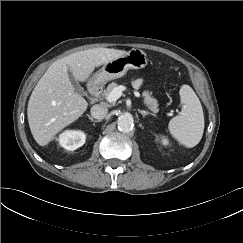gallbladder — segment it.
<instances>
[{
	"mask_svg": "<svg viewBox=\"0 0 243 243\" xmlns=\"http://www.w3.org/2000/svg\"><path fill=\"white\" fill-rule=\"evenodd\" d=\"M68 75H69V79L72 83V85L74 86L75 90L80 93L83 94L84 93V89L83 87L79 84V82L75 79V77L73 76V73L71 72V70H68Z\"/></svg>",
	"mask_w": 243,
	"mask_h": 243,
	"instance_id": "obj_1",
	"label": "gallbladder"
}]
</instances>
